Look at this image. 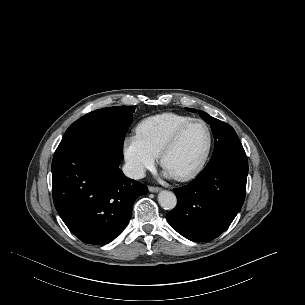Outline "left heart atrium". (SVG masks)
Masks as SVG:
<instances>
[{
	"instance_id": "39dd6f15",
	"label": "left heart atrium",
	"mask_w": 305,
	"mask_h": 305,
	"mask_svg": "<svg viewBox=\"0 0 305 305\" xmlns=\"http://www.w3.org/2000/svg\"><path fill=\"white\" fill-rule=\"evenodd\" d=\"M166 175H168V176H169V175H172V174H171L170 172L166 171Z\"/></svg>"
}]
</instances>
